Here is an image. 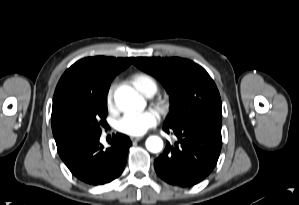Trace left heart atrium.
Returning <instances> with one entry per match:
<instances>
[{
  "instance_id": "1",
  "label": "left heart atrium",
  "mask_w": 299,
  "mask_h": 205,
  "mask_svg": "<svg viewBox=\"0 0 299 205\" xmlns=\"http://www.w3.org/2000/svg\"><path fill=\"white\" fill-rule=\"evenodd\" d=\"M158 116L152 110L125 114L117 123V129L127 135L140 136L156 125Z\"/></svg>"
}]
</instances>
